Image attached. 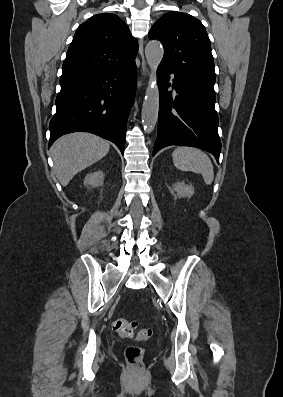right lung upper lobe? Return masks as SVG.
I'll list each match as a JSON object with an SVG mask.
<instances>
[{
  "mask_svg": "<svg viewBox=\"0 0 283 397\" xmlns=\"http://www.w3.org/2000/svg\"><path fill=\"white\" fill-rule=\"evenodd\" d=\"M137 52L136 39L124 21L111 13L94 15L77 29L60 83L125 66L135 61Z\"/></svg>",
  "mask_w": 283,
  "mask_h": 397,
  "instance_id": "right-lung-upper-lobe-1",
  "label": "right lung upper lobe"
}]
</instances>
